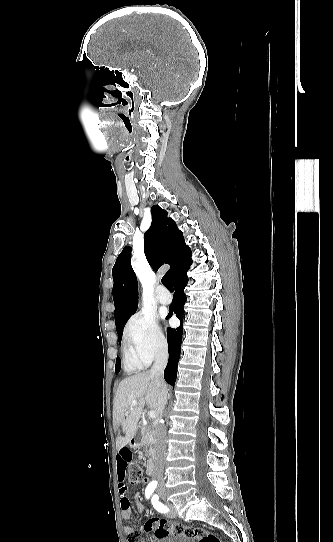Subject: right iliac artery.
I'll use <instances>...</instances> for the list:
<instances>
[{"label": "right iliac artery", "mask_w": 333, "mask_h": 542, "mask_svg": "<svg viewBox=\"0 0 333 542\" xmlns=\"http://www.w3.org/2000/svg\"><path fill=\"white\" fill-rule=\"evenodd\" d=\"M157 484H149L145 490V496L146 498H150V496L152 495L153 491L155 490ZM155 496V495H154ZM153 498V497H152ZM154 507V506H153Z\"/></svg>", "instance_id": "1"}]
</instances>
